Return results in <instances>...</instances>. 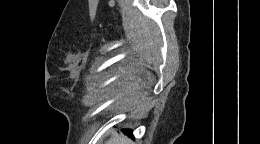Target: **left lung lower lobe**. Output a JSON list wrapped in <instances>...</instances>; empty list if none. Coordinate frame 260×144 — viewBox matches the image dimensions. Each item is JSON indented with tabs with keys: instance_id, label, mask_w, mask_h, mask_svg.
<instances>
[{
	"instance_id": "obj_1",
	"label": "left lung lower lobe",
	"mask_w": 260,
	"mask_h": 144,
	"mask_svg": "<svg viewBox=\"0 0 260 144\" xmlns=\"http://www.w3.org/2000/svg\"><path fill=\"white\" fill-rule=\"evenodd\" d=\"M125 133L128 134V135H130V136H133V135H132V131L129 130V129L125 130Z\"/></svg>"
}]
</instances>
